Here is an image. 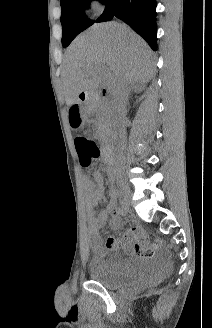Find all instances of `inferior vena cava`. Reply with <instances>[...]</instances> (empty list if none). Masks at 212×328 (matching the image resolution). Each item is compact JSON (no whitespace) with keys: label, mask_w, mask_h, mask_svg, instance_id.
<instances>
[{"label":"inferior vena cava","mask_w":212,"mask_h":328,"mask_svg":"<svg viewBox=\"0 0 212 328\" xmlns=\"http://www.w3.org/2000/svg\"><path fill=\"white\" fill-rule=\"evenodd\" d=\"M127 100H128V83L126 80L121 79L118 81L115 89L113 90L112 101H111L112 115L119 127L118 152L116 155L117 165L119 167H122L124 165L122 148L126 140L125 116H126Z\"/></svg>","instance_id":"602c4592"}]
</instances>
